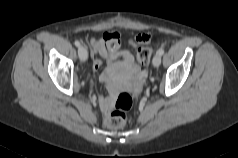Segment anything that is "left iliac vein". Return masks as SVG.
<instances>
[{"label": "left iliac vein", "mask_w": 238, "mask_h": 158, "mask_svg": "<svg viewBox=\"0 0 238 158\" xmlns=\"http://www.w3.org/2000/svg\"><path fill=\"white\" fill-rule=\"evenodd\" d=\"M152 63L154 65V67H159V65L161 64V56L159 54H156L153 57Z\"/></svg>", "instance_id": "left-iliac-vein-1"}]
</instances>
